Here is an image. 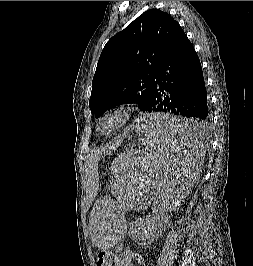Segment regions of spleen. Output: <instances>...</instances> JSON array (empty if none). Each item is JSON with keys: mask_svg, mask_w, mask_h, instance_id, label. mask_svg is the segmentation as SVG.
<instances>
[{"mask_svg": "<svg viewBox=\"0 0 253 266\" xmlns=\"http://www.w3.org/2000/svg\"><path fill=\"white\" fill-rule=\"evenodd\" d=\"M137 145L113 161L116 207H95L89 235L94 246L126 248L124 216L133 210L164 212L185 204L187 187L199 173L204 155V123L182 113L153 111L134 119Z\"/></svg>", "mask_w": 253, "mask_h": 266, "instance_id": "spleen-1", "label": "spleen"}]
</instances>
